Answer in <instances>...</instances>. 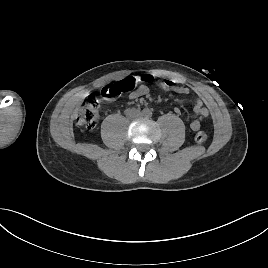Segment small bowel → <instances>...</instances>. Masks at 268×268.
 <instances>
[{
    "label": "small bowel",
    "instance_id": "c3829d8e",
    "mask_svg": "<svg viewBox=\"0 0 268 268\" xmlns=\"http://www.w3.org/2000/svg\"><path fill=\"white\" fill-rule=\"evenodd\" d=\"M159 85L164 91H172L181 95H187L190 93L189 87L177 85L171 81H160ZM148 92V86L144 84V82H141V84L137 88L130 92L128 98L130 100H134L147 95ZM175 111L179 113V109H175ZM193 113L195 118L191 121L190 128L192 131H197L200 129L202 121L209 115V111L204 106L202 100L197 99L193 105Z\"/></svg>",
    "mask_w": 268,
    "mask_h": 268
}]
</instances>
